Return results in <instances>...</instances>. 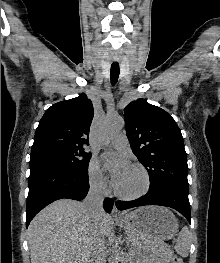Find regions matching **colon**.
<instances>
[{
    "mask_svg": "<svg viewBox=\"0 0 220 263\" xmlns=\"http://www.w3.org/2000/svg\"><path fill=\"white\" fill-rule=\"evenodd\" d=\"M172 263H184L183 259L178 257V256H175L173 259H172Z\"/></svg>",
    "mask_w": 220,
    "mask_h": 263,
    "instance_id": "obj_1",
    "label": "colon"
}]
</instances>
